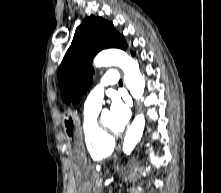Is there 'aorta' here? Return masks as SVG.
Instances as JSON below:
<instances>
[{
  "label": "aorta",
  "mask_w": 221,
  "mask_h": 193,
  "mask_svg": "<svg viewBox=\"0 0 221 193\" xmlns=\"http://www.w3.org/2000/svg\"><path fill=\"white\" fill-rule=\"evenodd\" d=\"M95 67H120L125 76L124 83L135 99L142 98L145 88V79L142 76L138 62L126 52L119 49H109L100 52L93 62ZM145 127V117L140 114L135 117L128 127L123 141V152L129 155L140 141Z\"/></svg>",
  "instance_id": "aorta-1"
}]
</instances>
